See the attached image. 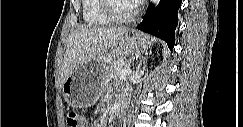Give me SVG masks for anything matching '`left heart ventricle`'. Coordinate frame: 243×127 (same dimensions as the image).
I'll use <instances>...</instances> for the list:
<instances>
[{"mask_svg":"<svg viewBox=\"0 0 243 127\" xmlns=\"http://www.w3.org/2000/svg\"><path fill=\"white\" fill-rule=\"evenodd\" d=\"M114 8L118 14L128 15L132 11L133 5L132 2L128 0H115Z\"/></svg>","mask_w":243,"mask_h":127,"instance_id":"obj_1","label":"left heart ventricle"}]
</instances>
